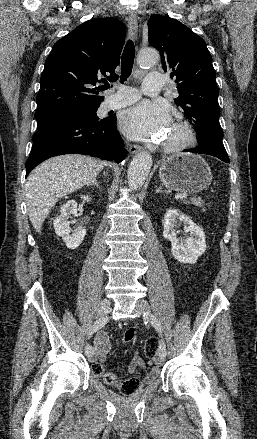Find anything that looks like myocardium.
I'll return each instance as SVG.
<instances>
[{
  "instance_id": "f54148a6",
  "label": "myocardium",
  "mask_w": 257,
  "mask_h": 439,
  "mask_svg": "<svg viewBox=\"0 0 257 439\" xmlns=\"http://www.w3.org/2000/svg\"><path fill=\"white\" fill-rule=\"evenodd\" d=\"M182 132L181 140L174 143H164L162 148L167 153H178L191 148L196 141L195 133L192 127L183 121H176L172 125Z\"/></svg>"
}]
</instances>
